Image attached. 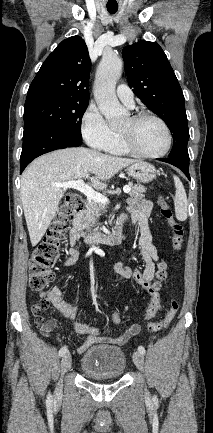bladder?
Segmentation results:
<instances>
[{
	"label": "bladder",
	"instance_id": "bladder-1",
	"mask_svg": "<svg viewBox=\"0 0 213 433\" xmlns=\"http://www.w3.org/2000/svg\"><path fill=\"white\" fill-rule=\"evenodd\" d=\"M126 369L124 351L115 345L100 344L90 347L81 357L80 370L92 379L121 377Z\"/></svg>",
	"mask_w": 213,
	"mask_h": 433
}]
</instances>
